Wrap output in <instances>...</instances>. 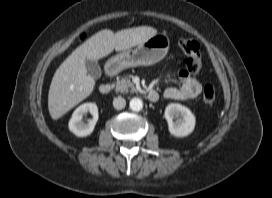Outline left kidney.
<instances>
[{
	"instance_id": "obj_1",
	"label": "left kidney",
	"mask_w": 272,
	"mask_h": 198,
	"mask_svg": "<svg viewBox=\"0 0 272 198\" xmlns=\"http://www.w3.org/2000/svg\"><path fill=\"white\" fill-rule=\"evenodd\" d=\"M164 116L171 135L185 137L193 132L196 118L189 108L178 103H171L166 107ZM174 119H176L175 122Z\"/></svg>"
}]
</instances>
